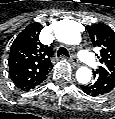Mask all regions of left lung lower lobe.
<instances>
[{
  "label": "left lung lower lobe",
  "instance_id": "1",
  "mask_svg": "<svg viewBox=\"0 0 115 119\" xmlns=\"http://www.w3.org/2000/svg\"><path fill=\"white\" fill-rule=\"evenodd\" d=\"M114 88L115 81L98 73L95 74L92 83L81 86L82 91L90 96H103L110 93Z\"/></svg>",
  "mask_w": 115,
  "mask_h": 119
}]
</instances>
